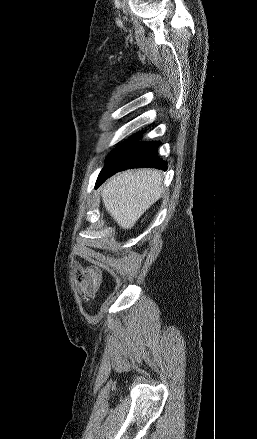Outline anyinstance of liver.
Returning <instances> with one entry per match:
<instances>
[{"label":"liver","mask_w":257,"mask_h":439,"mask_svg":"<svg viewBox=\"0 0 257 439\" xmlns=\"http://www.w3.org/2000/svg\"><path fill=\"white\" fill-rule=\"evenodd\" d=\"M162 173L155 169L128 170L110 178L101 189L104 206L123 229H131L162 195Z\"/></svg>","instance_id":"6515ba94"}]
</instances>
